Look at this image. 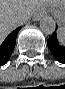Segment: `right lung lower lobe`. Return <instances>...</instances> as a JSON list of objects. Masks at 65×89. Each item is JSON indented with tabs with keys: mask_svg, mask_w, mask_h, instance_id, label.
I'll use <instances>...</instances> for the list:
<instances>
[{
	"mask_svg": "<svg viewBox=\"0 0 65 89\" xmlns=\"http://www.w3.org/2000/svg\"><path fill=\"white\" fill-rule=\"evenodd\" d=\"M19 30L20 28L13 31L10 35L7 36L3 43L0 44V66L6 64L9 61L16 44V37Z\"/></svg>",
	"mask_w": 65,
	"mask_h": 89,
	"instance_id": "98d812e1",
	"label": "right lung lower lobe"
}]
</instances>
